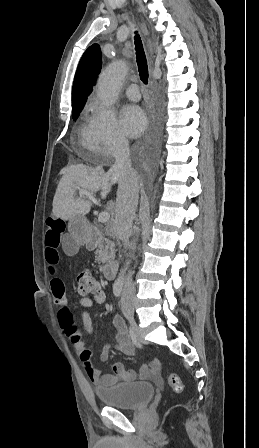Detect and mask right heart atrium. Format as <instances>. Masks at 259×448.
<instances>
[{"label":"right heart atrium","mask_w":259,"mask_h":448,"mask_svg":"<svg viewBox=\"0 0 259 448\" xmlns=\"http://www.w3.org/2000/svg\"><path fill=\"white\" fill-rule=\"evenodd\" d=\"M96 118L88 145L97 157H119L127 148L128 141L121 130L115 113L108 106L96 102Z\"/></svg>","instance_id":"1"}]
</instances>
